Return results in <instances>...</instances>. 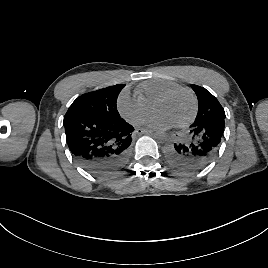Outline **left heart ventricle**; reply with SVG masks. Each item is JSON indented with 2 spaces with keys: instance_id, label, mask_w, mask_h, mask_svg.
<instances>
[{
  "instance_id": "1",
  "label": "left heart ventricle",
  "mask_w": 268,
  "mask_h": 268,
  "mask_svg": "<svg viewBox=\"0 0 268 268\" xmlns=\"http://www.w3.org/2000/svg\"><path fill=\"white\" fill-rule=\"evenodd\" d=\"M192 107V101L188 94L180 92L158 105L156 114L169 119L176 125L189 117L192 112Z\"/></svg>"
}]
</instances>
